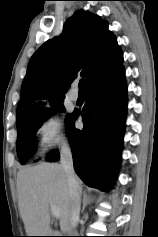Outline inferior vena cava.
<instances>
[{"mask_svg": "<svg viewBox=\"0 0 158 237\" xmlns=\"http://www.w3.org/2000/svg\"><path fill=\"white\" fill-rule=\"evenodd\" d=\"M60 164L66 174L69 197H70V231L73 236H77L75 229L79 220L80 214V196L81 190L79 188L77 178L73 168V158L71 148L67 141L63 142L61 146Z\"/></svg>", "mask_w": 158, "mask_h": 237, "instance_id": "inferior-vena-cava-1", "label": "inferior vena cava"}]
</instances>
